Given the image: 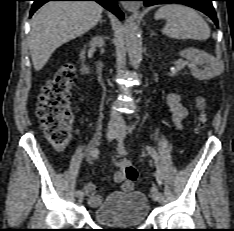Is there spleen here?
<instances>
[{
    "label": "spleen",
    "mask_w": 234,
    "mask_h": 231,
    "mask_svg": "<svg viewBox=\"0 0 234 231\" xmlns=\"http://www.w3.org/2000/svg\"><path fill=\"white\" fill-rule=\"evenodd\" d=\"M155 19H165L162 32L173 39L206 40L210 37V28L206 21L192 8L167 4L158 9Z\"/></svg>",
    "instance_id": "spleen-1"
}]
</instances>
